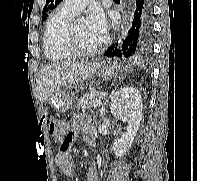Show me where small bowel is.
I'll list each match as a JSON object with an SVG mask.
<instances>
[{"mask_svg": "<svg viewBox=\"0 0 197 181\" xmlns=\"http://www.w3.org/2000/svg\"><path fill=\"white\" fill-rule=\"evenodd\" d=\"M79 131H82L85 138L93 136L88 128V118L85 115H77L74 117L71 122V129H69L66 124H63V129L58 136L61 142L63 140L67 141L68 149L66 151L59 150L55 157V163L68 177L72 176L74 173V165L70 156V147L74 143ZM86 181H99L98 173L94 165L88 169Z\"/></svg>", "mask_w": 197, "mask_h": 181, "instance_id": "small-bowel-1", "label": "small bowel"}]
</instances>
